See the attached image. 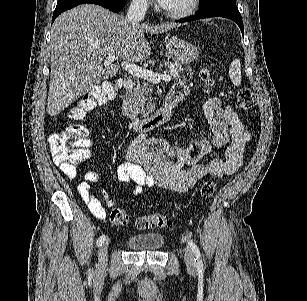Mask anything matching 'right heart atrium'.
I'll use <instances>...</instances> for the list:
<instances>
[{"label": "right heart atrium", "instance_id": "obj_1", "mask_svg": "<svg viewBox=\"0 0 307 301\" xmlns=\"http://www.w3.org/2000/svg\"><path fill=\"white\" fill-rule=\"evenodd\" d=\"M144 5H147V2H144Z\"/></svg>", "mask_w": 307, "mask_h": 301}]
</instances>
